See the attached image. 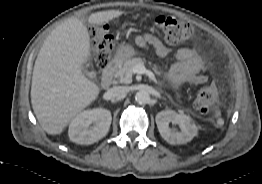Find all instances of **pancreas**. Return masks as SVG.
Listing matches in <instances>:
<instances>
[{
	"label": "pancreas",
	"mask_w": 262,
	"mask_h": 184,
	"mask_svg": "<svg viewBox=\"0 0 262 184\" xmlns=\"http://www.w3.org/2000/svg\"><path fill=\"white\" fill-rule=\"evenodd\" d=\"M145 63L146 60L140 57L128 59L122 66L113 69V76L120 83L129 84L132 82V70L134 69V67H136L137 65H144ZM149 65L152 66V69L157 74H160V71L158 70V67L156 65H152L151 62H149Z\"/></svg>",
	"instance_id": "1"
}]
</instances>
